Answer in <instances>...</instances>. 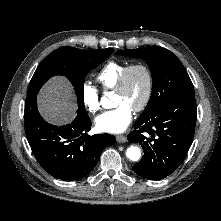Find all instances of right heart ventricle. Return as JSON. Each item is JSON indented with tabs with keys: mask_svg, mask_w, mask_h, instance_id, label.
I'll return each mask as SVG.
<instances>
[{
	"mask_svg": "<svg viewBox=\"0 0 221 221\" xmlns=\"http://www.w3.org/2000/svg\"><path fill=\"white\" fill-rule=\"evenodd\" d=\"M128 66L127 62L109 61L99 71L97 81L105 90H114L122 72Z\"/></svg>",
	"mask_w": 221,
	"mask_h": 221,
	"instance_id": "right-heart-ventricle-1",
	"label": "right heart ventricle"
}]
</instances>
